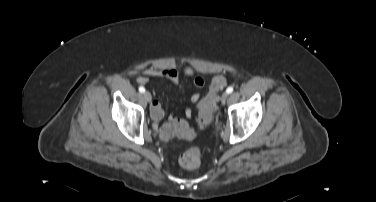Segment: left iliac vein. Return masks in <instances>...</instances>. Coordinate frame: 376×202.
I'll use <instances>...</instances> for the list:
<instances>
[{"mask_svg":"<svg viewBox=\"0 0 376 202\" xmlns=\"http://www.w3.org/2000/svg\"><path fill=\"white\" fill-rule=\"evenodd\" d=\"M228 99V93H223L221 97V103L225 104Z\"/></svg>","mask_w":376,"mask_h":202,"instance_id":"1","label":"left iliac vein"}]
</instances>
